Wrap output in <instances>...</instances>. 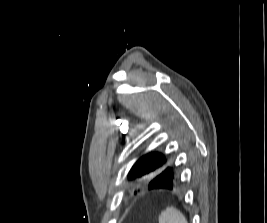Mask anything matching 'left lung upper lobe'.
Masks as SVG:
<instances>
[{
	"instance_id": "obj_1",
	"label": "left lung upper lobe",
	"mask_w": 267,
	"mask_h": 223,
	"mask_svg": "<svg viewBox=\"0 0 267 223\" xmlns=\"http://www.w3.org/2000/svg\"><path fill=\"white\" fill-rule=\"evenodd\" d=\"M169 171H178L170 154L149 152L142 155L136 161L128 174V180L151 182L155 179V173H166Z\"/></svg>"
}]
</instances>
